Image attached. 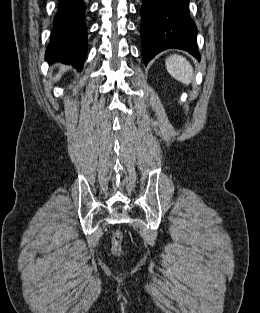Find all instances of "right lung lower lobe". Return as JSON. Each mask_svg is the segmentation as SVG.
<instances>
[{
  "instance_id": "obj_1",
  "label": "right lung lower lobe",
  "mask_w": 260,
  "mask_h": 313,
  "mask_svg": "<svg viewBox=\"0 0 260 313\" xmlns=\"http://www.w3.org/2000/svg\"><path fill=\"white\" fill-rule=\"evenodd\" d=\"M85 16L84 0H59L46 60L61 61L81 70L87 52Z\"/></svg>"
}]
</instances>
